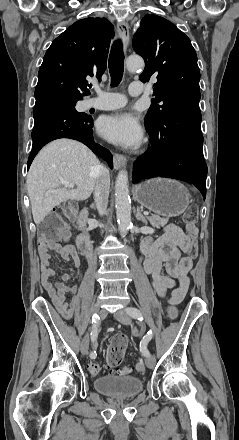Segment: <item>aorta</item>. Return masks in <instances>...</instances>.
<instances>
[{"label": "aorta", "mask_w": 239, "mask_h": 440, "mask_svg": "<svg viewBox=\"0 0 239 440\" xmlns=\"http://www.w3.org/2000/svg\"><path fill=\"white\" fill-rule=\"evenodd\" d=\"M127 70L135 72L143 68L144 60L140 56H129L126 62ZM115 208L118 228L121 234H126L131 224V200L129 196L128 174L121 170L115 182Z\"/></svg>", "instance_id": "762f6f07"}]
</instances>
